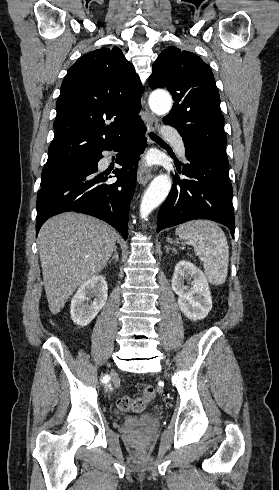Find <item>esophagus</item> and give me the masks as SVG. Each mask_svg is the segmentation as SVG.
<instances>
[{
  "label": "esophagus",
  "mask_w": 279,
  "mask_h": 490,
  "mask_svg": "<svg viewBox=\"0 0 279 490\" xmlns=\"http://www.w3.org/2000/svg\"><path fill=\"white\" fill-rule=\"evenodd\" d=\"M157 127H158V118L155 117L154 115H150L148 121V128L153 132L157 129ZM137 177L141 185H145L152 178L151 167L148 166L144 161H142L139 164Z\"/></svg>",
  "instance_id": "obj_1"
}]
</instances>
